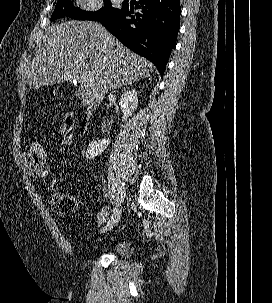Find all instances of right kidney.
Segmentation results:
<instances>
[{
    "label": "right kidney",
    "instance_id": "ca27d5eb",
    "mask_svg": "<svg viewBox=\"0 0 272 303\" xmlns=\"http://www.w3.org/2000/svg\"><path fill=\"white\" fill-rule=\"evenodd\" d=\"M119 105L123 112L122 119L123 121H126L127 118H129L132 115L133 111L138 107V98L135 89L124 92L120 97ZM110 142L111 141L109 139L92 141L87 148L86 158L94 159L98 155L102 154Z\"/></svg>",
    "mask_w": 272,
    "mask_h": 303
}]
</instances>
